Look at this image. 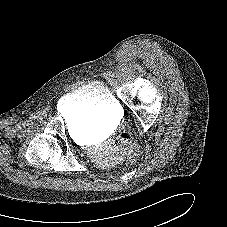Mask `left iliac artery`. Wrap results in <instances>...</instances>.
I'll use <instances>...</instances> for the list:
<instances>
[{
  "instance_id": "44dca946",
  "label": "left iliac artery",
  "mask_w": 227,
  "mask_h": 227,
  "mask_svg": "<svg viewBox=\"0 0 227 227\" xmlns=\"http://www.w3.org/2000/svg\"><path fill=\"white\" fill-rule=\"evenodd\" d=\"M110 77H115V73L110 71L109 74H108Z\"/></svg>"
}]
</instances>
